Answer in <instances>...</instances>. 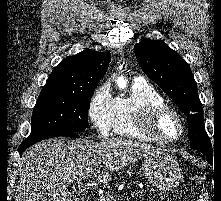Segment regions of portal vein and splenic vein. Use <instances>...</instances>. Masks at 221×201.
Here are the masks:
<instances>
[{
  "label": "portal vein and splenic vein",
  "instance_id": "1",
  "mask_svg": "<svg viewBox=\"0 0 221 201\" xmlns=\"http://www.w3.org/2000/svg\"><path fill=\"white\" fill-rule=\"evenodd\" d=\"M78 186L81 188V190L87 189V185L83 183V180L78 181ZM131 197L133 198L138 197V193L131 192ZM99 201H114V197L110 195H101L99 196Z\"/></svg>",
  "mask_w": 221,
  "mask_h": 201
}]
</instances>
